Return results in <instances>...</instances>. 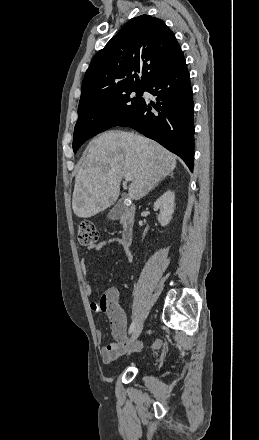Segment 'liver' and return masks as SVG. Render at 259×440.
<instances>
[{"label":"liver","mask_w":259,"mask_h":440,"mask_svg":"<svg viewBox=\"0 0 259 440\" xmlns=\"http://www.w3.org/2000/svg\"><path fill=\"white\" fill-rule=\"evenodd\" d=\"M176 167V156L157 142L133 132L107 131L90 141L75 178L72 208L88 218L113 205L126 174L133 179L131 200H140Z\"/></svg>","instance_id":"liver-1"}]
</instances>
